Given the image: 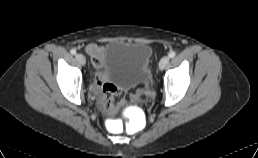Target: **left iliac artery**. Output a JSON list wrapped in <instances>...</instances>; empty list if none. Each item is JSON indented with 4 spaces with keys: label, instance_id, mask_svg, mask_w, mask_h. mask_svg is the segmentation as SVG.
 Here are the masks:
<instances>
[{
    "label": "left iliac artery",
    "instance_id": "left-iliac-artery-1",
    "mask_svg": "<svg viewBox=\"0 0 258 158\" xmlns=\"http://www.w3.org/2000/svg\"><path fill=\"white\" fill-rule=\"evenodd\" d=\"M175 55H176V53L174 51H170L168 54L169 58H173V57H175Z\"/></svg>",
    "mask_w": 258,
    "mask_h": 158
}]
</instances>
